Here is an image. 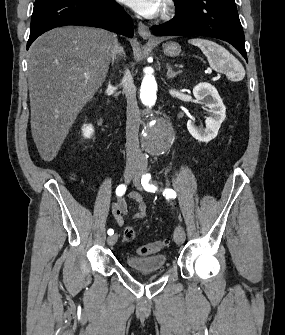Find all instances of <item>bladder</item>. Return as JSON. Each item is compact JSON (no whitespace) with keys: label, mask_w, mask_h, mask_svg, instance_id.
<instances>
[{"label":"bladder","mask_w":285,"mask_h":335,"mask_svg":"<svg viewBox=\"0 0 285 335\" xmlns=\"http://www.w3.org/2000/svg\"><path fill=\"white\" fill-rule=\"evenodd\" d=\"M126 255V265L133 266L132 273L158 272V265H164V258H169L165 252H157L149 256H134L131 254Z\"/></svg>","instance_id":"bladder-1"}]
</instances>
